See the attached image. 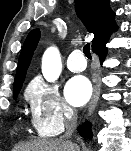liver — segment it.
<instances>
[{
    "label": "liver",
    "instance_id": "obj_1",
    "mask_svg": "<svg viewBox=\"0 0 131 151\" xmlns=\"http://www.w3.org/2000/svg\"><path fill=\"white\" fill-rule=\"evenodd\" d=\"M13 151H79V146L70 141L41 139L18 145Z\"/></svg>",
    "mask_w": 131,
    "mask_h": 151
}]
</instances>
